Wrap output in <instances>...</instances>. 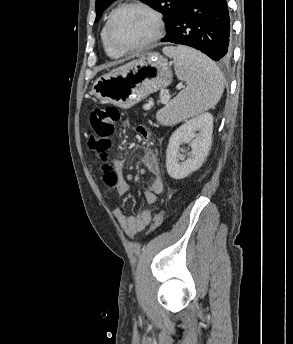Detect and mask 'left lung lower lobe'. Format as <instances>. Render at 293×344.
<instances>
[{"mask_svg": "<svg viewBox=\"0 0 293 344\" xmlns=\"http://www.w3.org/2000/svg\"><path fill=\"white\" fill-rule=\"evenodd\" d=\"M230 17L226 0H183L162 42L193 47L215 61H228Z\"/></svg>", "mask_w": 293, "mask_h": 344, "instance_id": "obj_1", "label": "left lung lower lobe"}]
</instances>
